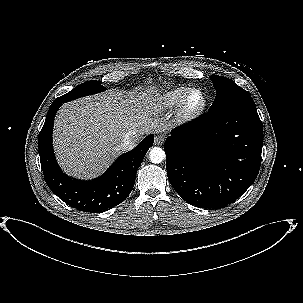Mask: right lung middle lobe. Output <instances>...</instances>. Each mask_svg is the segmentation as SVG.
I'll return each instance as SVG.
<instances>
[{
  "instance_id": "1",
  "label": "right lung middle lobe",
  "mask_w": 303,
  "mask_h": 303,
  "mask_svg": "<svg viewBox=\"0 0 303 303\" xmlns=\"http://www.w3.org/2000/svg\"><path fill=\"white\" fill-rule=\"evenodd\" d=\"M106 88L101 85L100 81L92 80L87 81L85 83H82L78 86H76L74 89H72L67 94L58 97V99L64 100V102L71 101L83 96L96 94L99 92L104 91Z\"/></svg>"
}]
</instances>
